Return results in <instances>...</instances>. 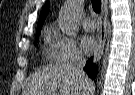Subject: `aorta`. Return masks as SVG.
Masks as SVG:
<instances>
[{"label": "aorta", "instance_id": "1", "mask_svg": "<svg viewBox=\"0 0 135 95\" xmlns=\"http://www.w3.org/2000/svg\"><path fill=\"white\" fill-rule=\"evenodd\" d=\"M82 0H67L59 14V27L67 36H75L79 30V14L82 10Z\"/></svg>", "mask_w": 135, "mask_h": 95}]
</instances>
